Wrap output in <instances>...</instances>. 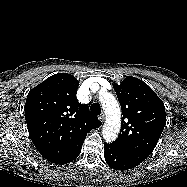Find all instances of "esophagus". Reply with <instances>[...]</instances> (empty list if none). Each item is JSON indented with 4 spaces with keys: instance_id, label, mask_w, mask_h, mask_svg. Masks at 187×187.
Returning a JSON list of instances; mask_svg holds the SVG:
<instances>
[{
    "instance_id": "esophagus-1",
    "label": "esophagus",
    "mask_w": 187,
    "mask_h": 187,
    "mask_svg": "<svg viewBox=\"0 0 187 187\" xmlns=\"http://www.w3.org/2000/svg\"><path fill=\"white\" fill-rule=\"evenodd\" d=\"M99 120L101 122H104L105 121V115L102 113L100 116H99Z\"/></svg>"
}]
</instances>
